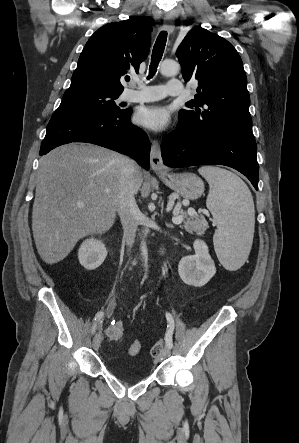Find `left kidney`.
<instances>
[{
  "mask_svg": "<svg viewBox=\"0 0 299 443\" xmlns=\"http://www.w3.org/2000/svg\"><path fill=\"white\" fill-rule=\"evenodd\" d=\"M193 247L195 255L180 260L178 273L187 285L202 287L215 275L216 267L204 241L195 240Z\"/></svg>",
  "mask_w": 299,
  "mask_h": 443,
  "instance_id": "left-kidney-1",
  "label": "left kidney"
}]
</instances>
